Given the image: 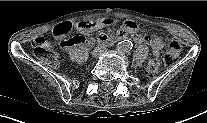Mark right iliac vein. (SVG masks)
<instances>
[{
  "mask_svg": "<svg viewBox=\"0 0 207 123\" xmlns=\"http://www.w3.org/2000/svg\"><path fill=\"white\" fill-rule=\"evenodd\" d=\"M93 56H94V57H97V56H98V52H94V53H93Z\"/></svg>",
  "mask_w": 207,
  "mask_h": 123,
  "instance_id": "1",
  "label": "right iliac vein"
}]
</instances>
